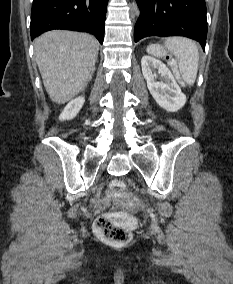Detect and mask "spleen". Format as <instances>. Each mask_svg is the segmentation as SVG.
<instances>
[{"label":"spleen","instance_id":"obj_1","mask_svg":"<svg viewBox=\"0 0 233 284\" xmlns=\"http://www.w3.org/2000/svg\"><path fill=\"white\" fill-rule=\"evenodd\" d=\"M166 51L171 52L177 59L178 66L174 65V71H179L183 81L192 86L199 65V51L195 42L183 37H172L166 40L164 46L151 44L147 48L149 54L157 57H163Z\"/></svg>","mask_w":233,"mask_h":284}]
</instances>
